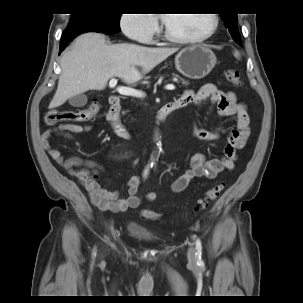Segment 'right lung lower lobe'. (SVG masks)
Masks as SVG:
<instances>
[{
  "mask_svg": "<svg viewBox=\"0 0 303 303\" xmlns=\"http://www.w3.org/2000/svg\"><path fill=\"white\" fill-rule=\"evenodd\" d=\"M120 31L119 25L110 23L92 22L85 23L79 26L66 29L62 35L59 54L66 48V46L78 35L86 32H100L105 34H115Z\"/></svg>",
  "mask_w": 303,
  "mask_h": 303,
  "instance_id": "obj_1",
  "label": "right lung lower lobe"
}]
</instances>
